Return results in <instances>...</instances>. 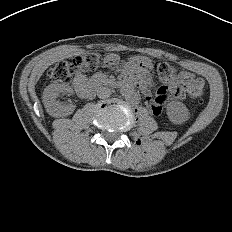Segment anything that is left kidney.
<instances>
[{
  "label": "left kidney",
  "mask_w": 232,
  "mask_h": 232,
  "mask_svg": "<svg viewBox=\"0 0 232 232\" xmlns=\"http://www.w3.org/2000/svg\"><path fill=\"white\" fill-rule=\"evenodd\" d=\"M168 119L173 124H183L190 118V112L188 108L179 101H174L167 108Z\"/></svg>",
  "instance_id": "1"
}]
</instances>
